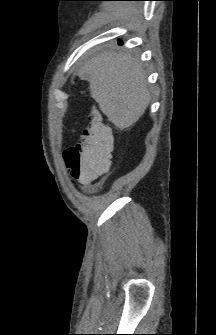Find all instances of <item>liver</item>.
<instances>
[{"label": "liver", "mask_w": 216, "mask_h": 335, "mask_svg": "<svg viewBox=\"0 0 216 335\" xmlns=\"http://www.w3.org/2000/svg\"><path fill=\"white\" fill-rule=\"evenodd\" d=\"M79 75L89 80L101 112L120 130L134 125L150 103L146 73L131 54L97 53L85 62Z\"/></svg>", "instance_id": "6515ba94"}]
</instances>
